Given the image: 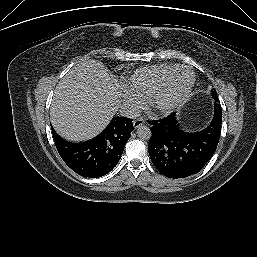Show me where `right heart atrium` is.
Returning a JSON list of instances; mask_svg holds the SVG:
<instances>
[{
	"instance_id": "obj_1",
	"label": "right heart atrium",
	"mask_w": 257,
	"mask_h": 257,
	"mask_svg": "<svg viewBox=\"0 0 257 257\" xmlns=\"http://www.w3.org/2000/svg\"><path fill=\"white\" fill-rule=\"evenodd\" d=\"M123 99L127 106V108L131 112H136L143 108L144 101L138 95L130 91L129 89H125L123 93Z\"/></svg>"
}]
</instances>
